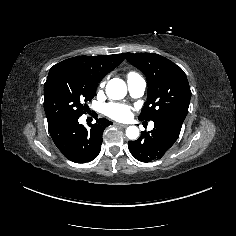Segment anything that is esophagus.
<instances>
[{
	"mask_svg": "<svg viewBox=\"0 0 236 236\" xmlns=\"http://www.w3.org/2000/svg\"><path fill=\"white\" fill-rule=\"evenodd\" d=\"M114 125L120 126V127H123V128L128 126L127 124H121V123H117V122H114Z\"/></svg>",
	"mask_w": 236,
	"mask_h": 236,
	"instance_id": "esophagus-1",
	"label": "esophagus"
}]
</instances>
